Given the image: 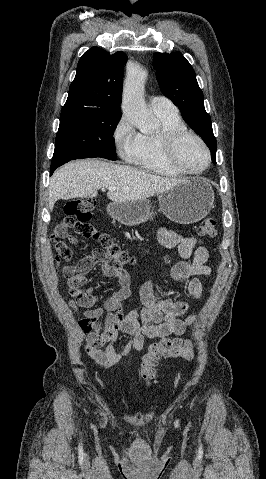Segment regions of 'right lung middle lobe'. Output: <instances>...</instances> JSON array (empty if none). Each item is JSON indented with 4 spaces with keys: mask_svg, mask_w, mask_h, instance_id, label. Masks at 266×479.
<instances>
[{
    "mask_svg": "<svg viewBox=\"0 0 266 479\" xmlns=\"http://www.w3.org/2000/svg\"><path fill=\"white\" fill-rule=\"evenodd\" d=\"M120 118L113 114L60 115L53 158L116 160L113 133Z\"/></svg>",
    "mask_w": 266,
    "mask_h": 479,
    "instance_id": "right-lung-middle-lobe-1",
    "label": "right lung middle lobe"
}]
</instances>
